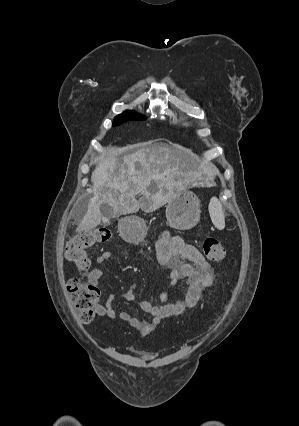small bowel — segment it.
Masks as SVG:
<instances>
[{"label": "small bowel", "mask_w": 299, "mask_h": 426, "mask_svg": "<svg viewBox=\"0 0 299 426\" xmlns=\"http://www.w3.org/2000/svg\"><path fill=\"white\" fill-rule=\"evenodd\" d=\"M156 255L158 262L167 270L169 278L167 289L160 295L161 303L155 305L148 300L138 303L134 288L127 290L124 295L128 302L138 303L140 309L151 316V320L136 318L129 311L116 313L113 307V295H109L104 303L97 306L98 315L111 320H120L144 337L151 333L162 319L180 315L187 308L194 307L199 302L203 291L214 282V271L210 263L194 245L186 243L178 235L163 232L156 244ZM110 258L111 252L104 251L96 257L95 264H104ZM103 275L100 268L91 270L88 274L89 283L98 289ZM183 279L187 281L183 298L175 302H168V292Z\"/></svg>", "instance_id": "small-bowel-1"}]
</instances>
